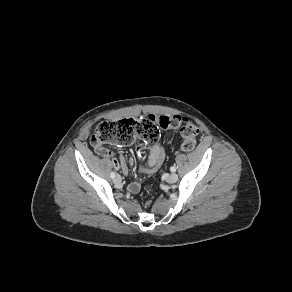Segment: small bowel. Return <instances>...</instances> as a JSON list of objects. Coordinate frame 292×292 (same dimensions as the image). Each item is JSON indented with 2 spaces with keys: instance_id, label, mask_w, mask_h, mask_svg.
I'll return each mask as SVG.
<instances>
[{
  "instance_id": "c3829d8e",
  "label": "small bowel",
  "mask_w": 292,
  "mask_h": 292,
  "mask_svg": "<svg viewBox=\"0 0 292 292\" xmlns=\"http://www.w3.org/2000/svg\"><path fill=\"white\" fill-rule=\"evenodd\" d=\"M147 148L149 150V156L146 162V165L142 168H140V172L143 173H152L155 172L163 163L164 160V149L163 147L158 144V143H150V142H145V144L139 148ZM98 154L109 157L113 160V163L117 169H119L123 174L127 175L128 174V163L126 159L122 156L116 157L113 152L103 149L101 152H97ZM130 164L134 163L133 159H130L129 161ZM140 183L137 181L130 182L127 185V189L131 193H137L140 190Z\"/></svg>"
}]
</instances>
